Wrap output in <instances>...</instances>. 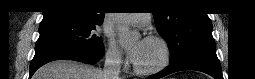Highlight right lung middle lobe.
Listing matches in <instances>:
<instances>
[{
  "label": "right lung middle lobe",
  "mask_w": 255,
  "mask_h": 79,
  "mask_svg": "<svg viewBox=\"0 0 255 79\" xmlns=\"http://www.w3.org/2000/svg\"><path fill=\"white\" fill-rule=\"evenodd\" d=\"M96 24L100 23L72 19L42 21L35 51L51 48L102 51L104 49L102 39L94 34Z\"/></svg>",
  "instance_id": "obj_1"
}]
</instances>
